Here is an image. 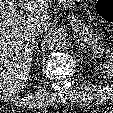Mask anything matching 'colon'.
Returning a JSON list of instances; mask_svg holds the SVG:
<instances>
[{"label": "colon", "mask_w": 113, "mask_h": 113, "mask_svg": "<svg viewBox=\"0 0 113 113\" xmlns=\"http://www.w3.org/2000/svg\"><path fill=\"white\" fill-rule=\"evenodd\" d=\"M98 15L109 23H113V0H97Z\"/></svg>", "instance_id": "5ec220e1"}]
</instances>
